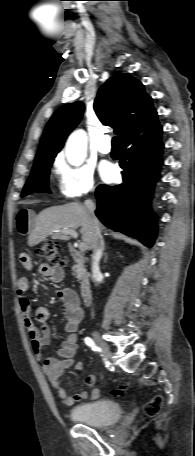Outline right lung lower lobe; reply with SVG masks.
<instances>
[{
	"mask_svg": "<svg viewBox=\"0 0 195 456\" xmlns=\"http://www.w3.org/2000/svg\"><path fill=\"white\" fill-rule=\"evenodd\" d=\"M162 127L152 126L122 142L120 166L123 183L100 185L96 190L97 217L107 227L138 238L147 247L154 244L156 217L150 199L162 164Z\"/></svg>",
	"mask_w": 195,
	"mask_h": 456,
	"instance_id": "1",
	"label": "right lung lower lobe"
}]
</instances>
